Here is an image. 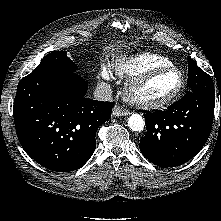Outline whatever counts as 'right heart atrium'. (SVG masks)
I'll return each mask as SVG.
<instances>
[{"mask_svg": "<svg viewBox=\"0 0 221 221\" xmlns=\"http://www.w3.org/2000/svg\"><path fill=\"white\" fill-rule=\"evenodd\" d=\"M99 76L102 80H108L110 78V72L107 66H102L100 68Z\"/></svg>", "mask_w": 221, "mask_h": 221, "instance_id": "right-heart-atrium-1", "label": "right heart atrium"}]
</instances>
